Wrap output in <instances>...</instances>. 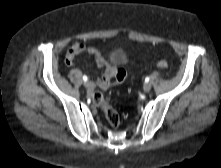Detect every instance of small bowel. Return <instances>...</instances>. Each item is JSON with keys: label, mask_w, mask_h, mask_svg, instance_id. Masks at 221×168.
<instances>
[{"label": "small bowel", "mask_w": 221, "mask_h": 168, "mask_svg": "<svg viewBox=\"0 0 221 168\" xmlns=\"http://www.w3.org/2000/svg\"><path fill=\"white\" fill-rule=\"evenodd\" d=\"M80 53H87L93 56L98 67L105 66V71L96 80V84L100 88L107 89L125 79L126 73L123 69H117L100 53L99 50L87 46L83 42H77L69 48L65 58L66 64L69 66L73 65L75 56Z\"/></svg>", "instance_id": "c3829d8e"}]
</instances>
